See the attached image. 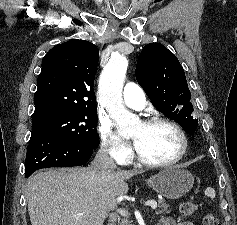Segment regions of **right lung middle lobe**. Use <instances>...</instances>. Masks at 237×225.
<instances>
[{"mask_svg": "<svg viewBox=\"0 0 237 225\" xmlns=\"http://www.w3.org/2000/svg\"><path fill=\"white\" fill-rule=\"evenodd\" d=\"M96 125V109L81 110L33 121L32 133L60 136L85 146L97 148L99 138Z\"/></svg>", "mask_w": 237, "mask_h": 225, "instance_id": "obj_1", "label": "right lung middle lobe"}]
</instances>
